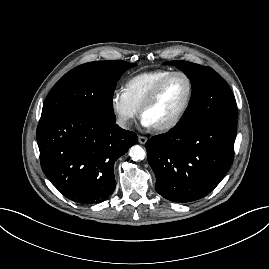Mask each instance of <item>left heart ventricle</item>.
<instances>
[{
    "instance_id": "b2bd125f",
    "label": "left heart ventricle",
    "mask_w": 269,
    "mask_h": 269,
    "mask_svg": "<svg viewBox=\"0 0 269 269\" xmlns=\"http://www.w3.org/2000/svg\"><path fill=\"white\" fill-rule=\"evenodd\" d=\"M188 95V83L182 76H174L163 86L155 103L143 118L152 126L171 120L183 107Z\"/></svg>"
}]
</instances>
